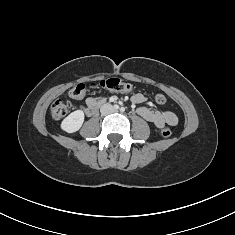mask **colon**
<instances>
[{
    "mask_svg": "<svg viewBox=\"0 0 235 235\" xmlns=\"http://www.w3.org/2000/svg\"><path fill=\"white\" fill-rule=\"evenodd\" d=\"M89 87L94 89L110 90L120 93H129L134 90V86L132 84L124 82L116 77L93 82L89 85ZM86 89L87 86L85 84H77L70 90L69 95L73 99H80L84 96ZM155 102L159 105H163L167 102V98L163 94H157L155 96ZM69 108L70 105L68 102H65L61 99L56 100L51 106V115L54 119H62L67 115ZM161 134L164 138H169L172 135V131L169 128H164L161 131Z\"/></svg>",
    "mask_w": 235,
    "mask_h": 235,
    "instance_id": "colon-1",
    "label": "colon"
}]
</instances>
